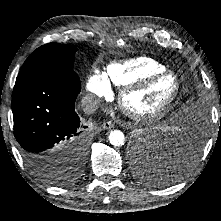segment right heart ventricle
Listing matches in <instances>:
<instances>
[{
  "label": "right heart ventricle",
  "instance_id": "right-heart-ventricle-1",
  "mask_svg": "<svg viewBox=\"0 0 221 221\" xmlns=\"http://www.w3.org/2000/svg\"><path fill=\"white\" fill-rule=\"evenodd\" d=\"M166 67L150 57H135L109 64L104 74L108 83L125 87L141 81L147 76L165 71Z\"/></svg>",
  "mask_w": 221,
  "mask_h": 221
}]
</instances>
